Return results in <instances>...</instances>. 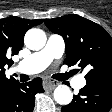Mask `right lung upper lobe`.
I'll use <instances>...</instances> for the list:
<instances>
[{
	"mask_svg": "<svg viewBox=\"0 0 112 112\" xmlns=\"http://www.w3.org/2000/svg\"><path fill=\"white\" fill-rule=\"evenodd\" d=\"M42 20H28L19 17L0 19V95L15 80L5 76V65L13 61L8 57L16 55L23 47V38L28 29L39 25Z\"/></svg>",
	"mask_w": 112,
	"mask_h": 112,
	"instance_id": "1",
	"label": "right lung upper lobe"
}]
</instances>
